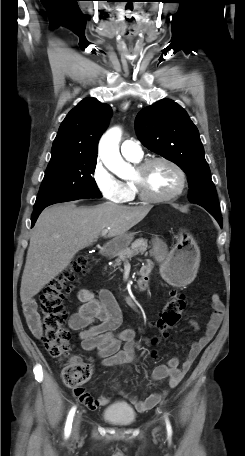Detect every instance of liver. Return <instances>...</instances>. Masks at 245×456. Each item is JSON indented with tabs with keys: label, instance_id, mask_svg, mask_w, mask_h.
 I'll list each match as a JSON object with an SVG mask.
<instances>
[{
	"label": "liver",
	"instance_id": "obj_1",
	"mask_svg": "<svg viewBox=\"0 0 245 456\" xmlns=\"http://www.w3.org/2000/svg\"><path fill=\"white\" fill-rule=\"evenodd\" d=\"M151 205L128 207L105 202L94 207L55 204L39 216L30 238L21 280L23 303L58 276L76 253L92 245L104 229L118 237L142 221Z\"/></svg>",
	"mask_w": 245,
	"mask_h": 456
}]
</instances>
